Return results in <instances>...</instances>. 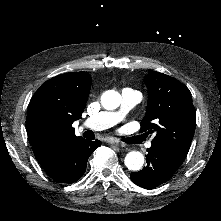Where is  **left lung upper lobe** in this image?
I'll list each match as a JSON object with an SVG mask.
<instances>
[{"label": "left lung upper lobe", "mask_w": 221, "mask_h": 221, "mask_svg": "<svg viewBox=\"0 0 221 221\" xmlns=\"http://www.w3.org/2000/svg\"><path fill=\"white\" fill-rule=\"evenodd\" d=\"M145 83L148 105L140 131L155 133L152 145L164 149L174 161L182 164L196 125L191 92L177 79L156 71L148 72Z\"/></svg>", "instance_id": "left-lung-upper-lobe-1"}]
</instances>
